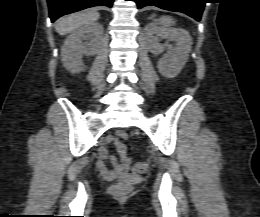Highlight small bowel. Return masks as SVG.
<instances>
[{"label":"small bowel","mask_w":260,"mask_h":217,"mask_svg":"<svg viewBox=\"0 0 260 217\" xmlns=\"http://www.w3.org/2000/svg\"><path fill=\"white\" fill-rule=\"evenodd\" d=\"M126 134L119 132L116 137H106L103 145L98 149V161L97 167L100 174L107 180H113L119 175L127 174L130 164L131 157L126 151L124 143L121 138H124ZM114 144L118 153V157L111 156L108 154V145ZM104 160H109L112 168L109 169L105 164Z\"/></svg>","instance_id":"c3829d8e"}]
</instances>
